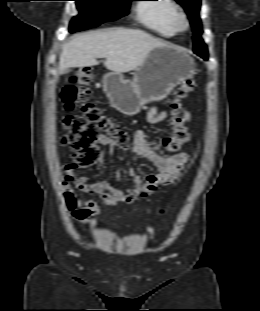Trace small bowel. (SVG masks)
Masks as SVG:
<instances>
[{"mask_svg": "<svg viewBox=\"0 0 260 311\" xmlns=\"http://www.w3.org/2000/svg\"><path fill=\"white\" fill-rule=\"evenodd\" d=\"M167 116V111L151 107L147 113V120L151 124H158L163 122ZM182 118L184 122H188L189 113L183 111ZM102 145L108 148L110 154H115L120 148H127L108 137L103 139ZM131 150L134 158L148 161L155 167L156 172L148 174L142 179L133 167H129L127 174L131 178V183L127 187H116L107 180L92 181L86 176H76L79 167L74 163L67 164L63 168L64 197L67 208L75 220L85 225H92L93 222L90 217L100 211L99 204L96 201L80 199L78 197L79 191L89 195H97L100 201L107 206H114L118 203L132 204L138 199L155 193L159 186L174 182L190 159L187 152H179L165 157L150 150L147 146V136L140 129L134 132ZM118 177L119 172L116 174V178Z\"/></svg>", "mask_w": 260, "mask_h": 311, "instance_id": "obj_1", "label": "small bowel"}]
</instances>
